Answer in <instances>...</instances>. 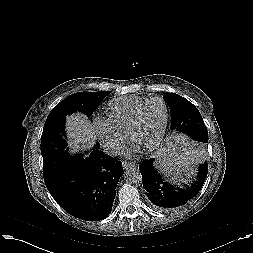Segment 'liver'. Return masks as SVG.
<instances>
[{"label":"liver","mask_w":253,"mask_h":253,"mask_svg":"<svg viewBox=\"0 0 253 253\" xmlns=\"http://www.w3.org/2000/svg\"><path fill=\"white\" fill-rule=\"evenodd\" d=\"M66 130L70 145L75 149L89 148L94 142L92 125L82 114L71 115L67 118Z\"/></svg>","instance_id":"obj_1"}]
</instances>
